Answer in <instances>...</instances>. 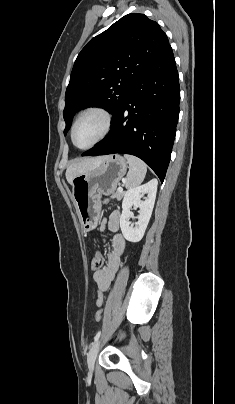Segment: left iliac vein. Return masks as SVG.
<instances>
[{"label": "left iliac vein", "instance_id": "1", "mask_svg": "<svg viewBox=\"0 0 235 404\" xmlns=\"http://www.w3.org/2000/svg\"><path fill=\"white\" fill-rule=\"evenodd\" d=\"M100 340H97L93 346L91 347L88 356H87V364L89 369L92 371L94 369L95 360L99 351Z\"/></svg>", "mask_w": 235, "mask_h": 404}]
</instances>
